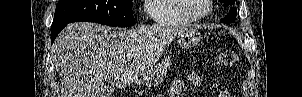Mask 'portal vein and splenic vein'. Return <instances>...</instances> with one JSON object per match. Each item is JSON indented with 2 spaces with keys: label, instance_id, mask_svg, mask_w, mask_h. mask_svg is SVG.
<instances>
[{
  "label": "portal vein and splenic vein",
  "instance_id": "portal-vein-and-splenic-vein-1",
  "mask_svg": "<svg viewBox=\"0 0 302 97\" xmlns=\"http://www.w3.org/2000/svg\"><path fill=\"white\" fill-rule=\"evenodd\" d=\"M133 56H128V60H132Z\"/></svg>",
  "mask_w": 302,
  "mask_h": 97
}]
</instances>
